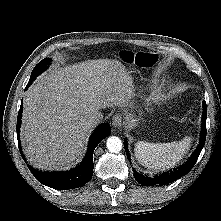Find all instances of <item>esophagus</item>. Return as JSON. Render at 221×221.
Segmentation results:
<instances>
[{"instance_id": "esophagus-1", "label": "esophagus", "mask_w": 221, "mask_h": 221, "mask_svg": "<svg viewBox=\"0 0 221 221\" xmlns=\"http://www.w3.org/2000/svg\"><path fill=\"white\" fill-rule=\"evenodd\" d=\"M123 117L121 114H115L112 118V125L114 128L120 129L123 125Z\"/></svg>"}]
</instances>
